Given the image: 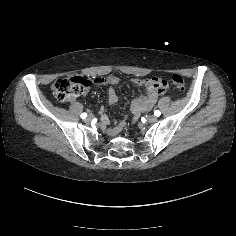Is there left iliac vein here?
Segmentation results:
<instances>
[{
  "label": "left iliac vein",
  "mask_w": 236,
  "mask_h": 236,
  "mask_svg": "<svg viewBox=\"0 0 236 236\" xmlns=\"http://www.w3.org/2000/svg\"><path fill=\"white\" fill-rule=\"evenodd\" d=\"M147 121H148L149 123H155V122L157 121V117H156L155 115H149V116L147 117Z\"/></svg>",
  "instance_id": "1"
}]
</instances>
